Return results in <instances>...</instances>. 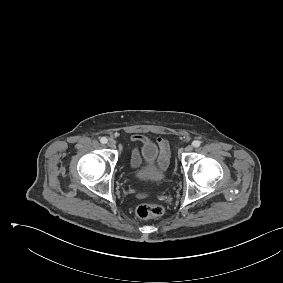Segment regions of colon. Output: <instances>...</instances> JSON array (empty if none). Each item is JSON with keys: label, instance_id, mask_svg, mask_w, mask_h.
<instances>
[{"label": "colon", "instance_id": "1", "mask_svg": "<svg viewBox=\"0 0 283 283\" xmlns=\"http://www.w3.org/2000/svg\"><path fill=\"white\" fill-rule=\"evenodd\" d=\"M164 212L165 209L163 206L149 203H143L136 209L137 216L142 219L159 217L163 215Z\"/></svg>", "mask_w": 283, "mask_h": 283}]
</instances>
